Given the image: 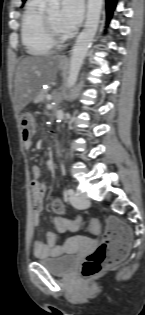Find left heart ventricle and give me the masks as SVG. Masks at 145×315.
Wrapping results in <instances>:
<instances>
[{
    "mask_svg": "<svg viewBox=\"0 0 145 315\" xmlns=\"http://www.w3.org/2000/svg\"><path fill=\"white\" fill-rule=\"evenodd\" d=\"M47 14L52 23L54 24V26L57 28V30L62 34H65L66 30L63 28L61 24L59 9L58 8L51 9L50 11L47 12Z\"/></svg>",
    "mask_w": 145,
    "mask_h": 315,
    "instance_id": "b2bd125f",
    "label": "left heart ventricle"
}]
</instances>
